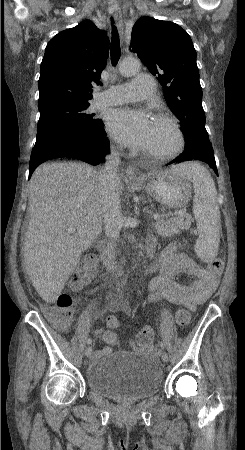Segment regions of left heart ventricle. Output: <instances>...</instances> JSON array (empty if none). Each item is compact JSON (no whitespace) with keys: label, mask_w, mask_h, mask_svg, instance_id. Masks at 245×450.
<instances>
[{"label":"left heart ventricle","mask_w":245,"mask_h":450,"mask_svg":"<svg viewBox=\"0 0 245 450\" xmlns=\"http://www.w3.org/2000/svg\"><path fill=\"white\" fill-rule=\"evenodd\" d=\"M174 133L167 125L153 121L152 132L145 150H166L174 145Z\"/></svg>","instance_id":"b2bd125f"}]
</instances>
